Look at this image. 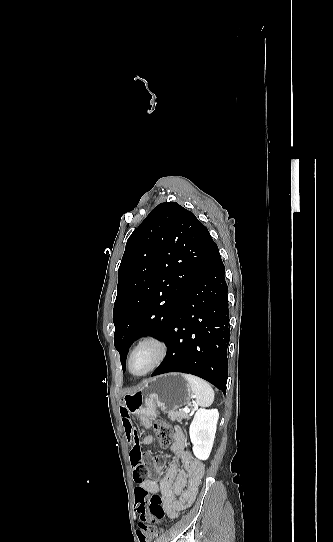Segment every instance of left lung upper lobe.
Masks as SVG:
<instances>
[{
	"label": "left lung upper lobe",
	"mask_w": 333,
	"mask_h": 542,
	"mask_svg": "<svg viewBox=\"0 0 333 542\" xmlns=\"http://www.w3.org/2000/svg\"><path fill=\"white\" fill-rule=\"evenodd\" d=\"M213 242L196 216L176 202L159 204L131 234L118 269L113 311L123 371L128 348L140 336L165 340Z\"/></svg>",
	"instance_id": "5c2ea615"
}]
</instances>
